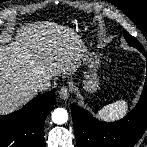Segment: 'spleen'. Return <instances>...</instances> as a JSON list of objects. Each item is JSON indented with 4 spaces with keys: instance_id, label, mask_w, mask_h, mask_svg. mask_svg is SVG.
<instances>
[{
    "instance_id": "1",
    "label": "spleen",
    "mask_w": 147,
    "mask_h": 147,
    "mask_svg": "<svg viewBox=\"0 0 147 147\" xmlns=\"http://www.w3.org/2000/svg\"><path fill=\"white\" fill-rule=\"evenodd\" d=\"M126 107H127L126 102L124 100H119V101H116L114 103L104 106L100 110V114L103 117L114 119V118H117L123 115V113H125L126 111Z\"/></svg>"
}]
</instances>
